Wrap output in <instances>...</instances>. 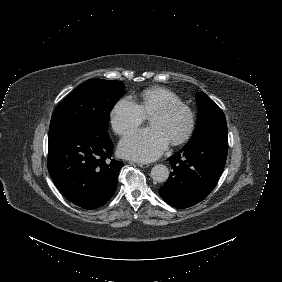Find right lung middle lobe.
Segmentation results:
<instances>
[{"mask_svg": "<svg viewBox=\"0 0 282 282\" xmlns=\"http://www.w3.org/2000/svg\"><path fill=\"white\" fill-rule=\"evenodd\" d=\"M120 81L90 79L79 85L55 109L49 135L69 126L83 125L106 135L110 111L125 94Z\"/></svg>", "mask_w": 282, "mask_h": 282, "instance_id": "1", "label": "right lung middle lobe"}]
</instances>
